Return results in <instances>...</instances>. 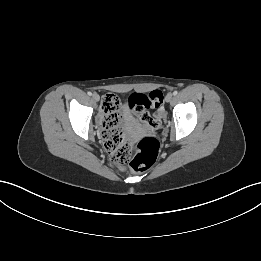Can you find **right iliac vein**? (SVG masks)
<instances>
[{
	"mask_svg": "<svg viewBox=\"0 0 261 261\" xmlns=\"http://www.w3.org/2000/svg\"><path fill=\"white\" fill-rule=\"evenodd\" d=\"M92 98H93V100L96 101V102H98V101L100 100V96H99L97 93H94V94L92 95Z\"/></svg>",
	"mask_w": 261,
	"mask_h": 261,
	"instance_id": "obj_1",
	"label": "right iliac vein"
}]
</instances>
